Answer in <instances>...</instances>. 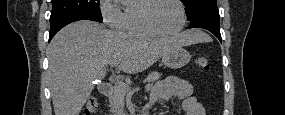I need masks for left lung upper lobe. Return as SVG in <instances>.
Returning <instances> with one entry per match:
<instances>
[{
  "mask_svg": "<svg viewBox=\"0 0 285 115\" xmlns=\"http://www.w3.org/2000/svg\"><path fill=\"white\" fill-rule=\"evenodd\" d=\"M186 7V14L190 20L194 15L208 8L217 7V0H181Z\"/></svg>",
  "mask_w": 285,
  "mask_h": 115,
  "instance_id": "left-lung-upper-lobe-1",
  "label": "left lung upper lobe"
}]
</instances>
